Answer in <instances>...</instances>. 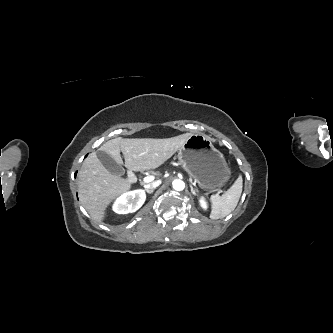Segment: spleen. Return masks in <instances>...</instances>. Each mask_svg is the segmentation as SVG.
<instances>
[{
    "instance_id": "1",
    "label": "spleen",
    "mask_w": 333,
    "mask_h": 333,
    "mask_svg": "<svg viewBox=\"0 0 333 333\" xmlns=\"http://www.w3.org/2000/svg\"><path fill=\"white\" fill-rule=\"evenodd\" d=\"M243 180L239 176L234 184L222 195L214 194L210 197L211 219H220L229 215L237 206L242 193Z\"/></svg>"
}]
</instances>
